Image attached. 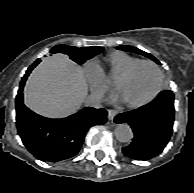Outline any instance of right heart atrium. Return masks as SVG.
I'll use <instances>...</instances> for the list:
<instances>
[{"label":"right heart atrium","mask_w":194,"mask_h":193,"mask_svg":"<svg viewBox=\"0 0 194 193\" xmlns=\"http://www.w3.org/2000/svg\"><path fill=\"white\" fill-rule=\"evenodd\" d=\"M84 75L92 94L96 98H101L108 92V82L103 77L100 69L98 68L95 62L88 61L85 63Z\"/></svg>","instance_id":"1"}]
</instances>
